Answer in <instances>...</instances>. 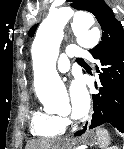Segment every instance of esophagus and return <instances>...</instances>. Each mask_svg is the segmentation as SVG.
<instances>
[{"mask_svg":"<svg viewBox=\"0 0 124 149\" xmlns=\"http://www.w3.org/2000/svg\"><path fill=\"white\" fill-rule=\"evenodd\" d=\"M67 39L68 40H71L72 39V33H71V31H69L68 32V34H67ZM90 126H91V117H90V119L84 124V129H89L90 128Z\"/></svg>","mask_w":124,"mask_h":149,"instance_id":"1","label":"esophagus"}]
</instances>
